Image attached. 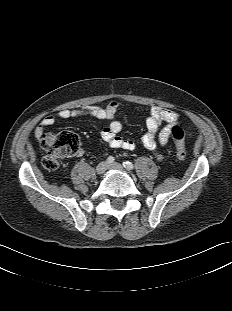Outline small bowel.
I'll list each match as a JSON object with an SVG mask.
<instances>
[{"label": "small bowel", "mask_w": 232, "mask_h": 311, "mask_svg": "<svg viewBox=\"0 0 232 311\" xmlns=\"http://www.w3.org/2000/svg\"><path fill=\"white\" fill-rule=\"evenodd\" d=\"M118 108L119 104L112 101L104 107L91 104L73 109H61L53 115L45 116L36 127L34 135L38 140H42L46 136V128L54 125L58 120L91 116L109 121V124L100 129V136L110 147L134 150L136 148L135 142L120 136L122 123L116 119ZM178 120L179 115L175 111L160 106H152L146 119L145 132L141 137L142 145L159 157L158 148L169 143L171 127L178 123ZM163 123H167V125L162 127ZM82 154L83 150H79L78 155Z\"/></svg>", "instance_id": "1"}]
</instances>
